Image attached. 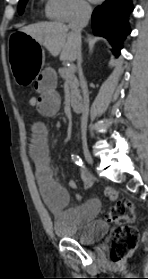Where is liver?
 <instances>
[{
    "label": "liver",
    "mask_w": 148,
    "mask_h": 279,
    "mask_svg": "<svg viewBox=\"0 0 148 279\" xmlns=\"http://www.w3.org/2000/svg\"><path fill=\"white\" fill-rule=\"evenodd\" d=\"M43 45L52 56L60 55L61 61L73 62L77 59V49L81 37L77 38L69 27L60 22H43L20 29Z\"/></svg>",
    "instance_id": "obj_1"
}]
</instances>
